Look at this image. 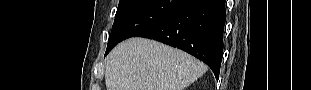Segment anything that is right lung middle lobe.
I'll return each instance as SVG.
<instances>
[{"label": "right lung middle lobe", "mask_w": 311, "mask_h": 90, "mask_svg": "<svg viewBox=\"0 0 311 90\" xmlns=\"http://www.w3.org/2000/svg\"><path fill=\"white\" fill-rule=\"evenodd\" d=\"M186 0H120L106 54L119 42L165 19Z\"/></svg>", "instance_id": "right-lung-middle-lobe-1"}]
</instances>
